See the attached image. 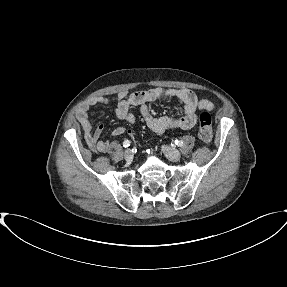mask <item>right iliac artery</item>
<instances>
[{"mask_svg": "<svg viewBox=\"0 0 287 287\" xmlns=\"http://www.w3.org/2000/svg\"><path fill=\"white\" fill-rule=\"evenodd\" d=\"M130 144H131V142H130L129 140H125V141L123 142V146H124V147L130 146Z\"/></svg>", "mask_w": 287, "mask_h": 287, "instance_id": "obj_1", "label": "right iliac artery"}]
</instances>
